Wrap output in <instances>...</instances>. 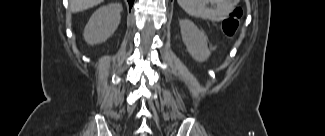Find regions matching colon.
Here are the masks:
<instances>
[{"label": "colon", "instance_id": "obj_1", "mask_svg": "<svg viewBox=\"0 0 325 136\" xmlns=\"http://www.w3.org/2000/svg\"><path fill=\"white\" fill-rule=\"evenodd\" d=\"M242 9L235 8L230 16L223 22V30L228 35H233L239 28Z\"/></svg>", "mask_w": 325, "mask_h": 136}]
</instances>
